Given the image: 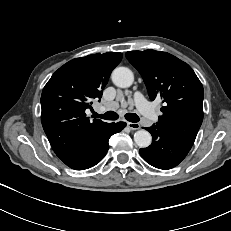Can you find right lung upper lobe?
<instances>
[{"mask_svg":"<svg viewBox=\"0 0 231 231\" xmlns=\"http://www.w3.org/2000/svg\"><path fill=\"white\" fill-rule=\"evenodd\" d=\"M122 53L107 52L73 59L60 67L41 95V121L55 154L66 164L74 162L84 148L107 131L110 124L89 121L85 110L101 98L111 71Z\"/></svg>","mask_w":231,"mask_h":231,"instance_id":"right-lung-upper-lobe-1","label":"right lung upper lobe"}]
</instances>
